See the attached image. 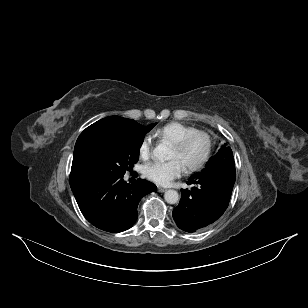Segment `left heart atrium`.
I'll return each mask as SVG.
<instances>
[{
	"mask_svg": "<svg viewBox=\"0 0 308 308\" xmlns=\"http://www.w3.org/2000/svg\"><path fill=\"white\" fill-rule=\"evenodd\" d=\"M186 170L184 164L177 158L167 162H154L144 169L145 176L152 182L166 186L180 177Z\"/></svg>",
	"mask_w": 308,
	"mask_h": 308,
	"instance_id": "left-heart-atrium-1",
	"label": "left heart atrium"
}]
</instances>
